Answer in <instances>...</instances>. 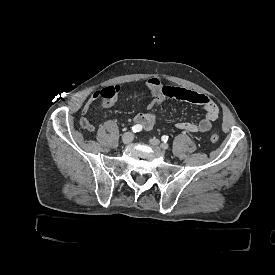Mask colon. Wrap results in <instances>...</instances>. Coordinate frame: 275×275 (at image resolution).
Listing matches in <instances>:
<instances>
[{
	"label": "colon",
	"instance_id": "5ec220e1",
	"mask_svg": "<svg viewBox=\"0 0 275 275\" xmlns=\"http://www.w3.org/2000/svg\"><path fill=\"white\" fill-rule=\"evenodd\" d=\"M80 125L82 126L83 129L91 131L93 130V126L86 120V119H82L80 121ZM211 142L215 143L219 140V136L217 133H213L210 137Z\"/></svg>",
	"mask_w": 275,
	"mask_h": 275
}]
</instances>
